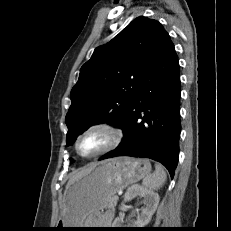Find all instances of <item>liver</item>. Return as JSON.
<instances>
[{"label": "liver", "instance_id": "obj_1", "mask_svg": "<svg viewBox=\"0 0 231 231\" xmlns=\"http://www.w3.org/2000/svg\"><path fill=\"white\" fill-rule=\"evenodd\" d=\"M97 164L96 163H92L90 164L87 168H83L81 169L80 171H77L75 173H73L68 181V184H67V187L72 183L74 182L75 180L83 177L84 175L90 173L93 168L96 166Z\"/></svg>", "mask_w": 231, "mask_h": 231}]
</instances>
